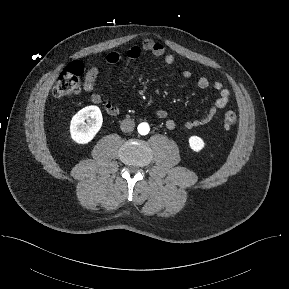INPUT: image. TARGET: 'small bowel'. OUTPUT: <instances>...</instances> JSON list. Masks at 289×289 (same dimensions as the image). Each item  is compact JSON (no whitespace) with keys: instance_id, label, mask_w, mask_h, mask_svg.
Masks as SVG:
<instances>
[{"instance_id":"1","label":"small bowel","mask_w":289,"mask_h":289,"mask_svg":"<svg viewBox=\"0 0 289 289\" xmlns=\"http://www.w3.org/2000/svg\"><path fill=\"white\" fill-rule=\"evenodd\" d=\"M142 51L149 52L155 57L162 58L164 63L167 65H172L175 62V57L172 54L166 53L165 47L160 42L152 39L144 40L141 47L136 45L131 46L125 52H110L106 57V62L110 65H114L124 58L135 60L140 57ZM98 75L99 70L96 67L90 68L85 74L83 88L86 92L90 93L91 101L94 104L101 105L110 115H117L120 111L119 107L105 100L100 94L94 92ZM191 75L192 73L190 70H183L182 72V76L184 78H190ZM196 83L201 89L212 87L218 92V98L214 101L213 105L206 114L199 118L185 122V127L187 129L209 124L214 119L217 111L226 107L230 101V91L224 87L220 81L211 82L206 75H199ZM154 114L160 119H166V127L169 130L175 129L176 122L173 119H167L168 112L165 109L157 108L154 110Z\"/></svg>"}]
</instances>
